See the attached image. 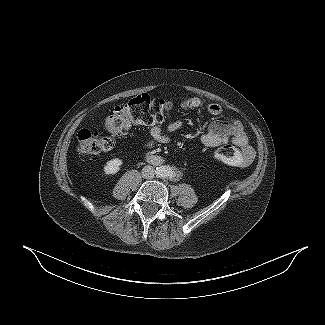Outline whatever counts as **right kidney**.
Segmentation results:
<instances>
[{
  "label": "right kidney",
  "mask_w": 325,
  "mask_h": 325,
  "mask_svg": "<svg viewBox=\"0 0 325 325\" xmlns=\"http://www.w3.org/2000/svg\"><path fill=\"white\" fill-rule=\"evenodd\" d=\"M123 161L119 158H114L109 160L104 166V171L106 174H116L119 170Z\"/></svg>",
  "instance_id": "right-kidney-1"
}]
</instances>
